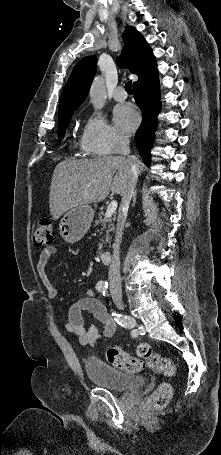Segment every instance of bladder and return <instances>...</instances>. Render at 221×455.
<instances>
[{
	"mask_svg": "<svg viewBox=\"0 0 221 455\" xmlns=\"http://www.w3.org/2000/svg\"><path fill=\"white\" fill-rule=\"evenodd\" d=\"M84 368L90 380L113 391L136 390L144 384L142 376L122 372L97 359H86Z\"/></svg>",
	"mask_w": 221,
	"mask_h": 455,
	"instance_id": "1",
	"label": "bladder"
}]
</instances>
